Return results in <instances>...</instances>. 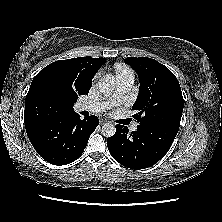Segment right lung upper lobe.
Listing matches in <instances>:
<instances>
[{"mask_svg": "<svg viewBox=\"0 0 222 222\" xmlns=\"http://www.w3.org/2000/svg\"><path fill=\"white\" fill-rule=\"evenodd\" d=\"M105 58L78 57L55 61L33 79L25 98L26 131L52 119L74 114L78 96L88 94Z\"/></svg>", "mask_w": 222, "mask_h": 222, "instance_id": "right-lung-upper-lobe-1", "label": "right lung upper lobe"}]
</instances>
